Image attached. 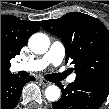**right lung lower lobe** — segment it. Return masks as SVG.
Masks as SVG:
<instances>
[{"instance_id":"obj_1","label":"right lung lower lobe","mask_w":109,"mask_h":109,"mask_svg":"<svg viewBox=\"0 0 109 109\" xmlns=\"http://www.w3.org/2000/svg\"><path fill=\"white\" fill-rule=\"evenodd\" d=\"M33 76L23 79L15 74L1 77V109H13L21 96L22 88L27 81L34 80Z\"/></svg>"}]
</instances>
